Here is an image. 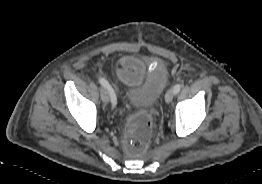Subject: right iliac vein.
I'll list each match as a JSON object with an SVG mask.
<instances>
[{"mask_svg":"<svg viewBox=\"0 0 262 184\" xmlns=\"http://www.w3.org/2000/svg\"><path fill=\"white\" fill-rule=\"evenodd\" d=\"M110 91L108 89L103 88L101 90V99L104 103H108L110 101Z\"/></svg>","mask_w":262,"mask_h":184,"instance_id":"right-iliac-vein-1","label":"right iliac vein"}]
</instances>
